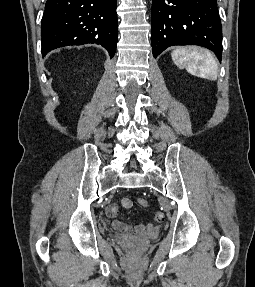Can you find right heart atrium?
<instances>
[{"label": "right heart atrium", "mask_w": 255, "mask_h": 287, "mask_svg": "<svg viewBox=\"0 0 255 287\" xmlns=\"http://www.w3.org/2000/svg\"><path fill=\"white\" fill-rule=\"evenodd\" d=\"M127 33H140V32H127ZM128 39H139V38H128Z\"/></svg>", "instance_id": "obj_1"}]
</instances>
